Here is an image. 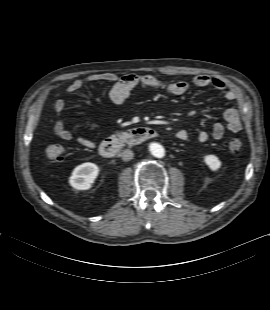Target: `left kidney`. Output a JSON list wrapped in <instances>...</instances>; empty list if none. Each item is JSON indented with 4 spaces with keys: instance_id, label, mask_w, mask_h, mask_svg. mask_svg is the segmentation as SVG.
Listing matches in <instances>:
<instances>
[{
    "instance_id": "obj_1",
    "label": "left kidney",
    "mask_w": 270,
    "mask_h": 310,
    "mask_svg": "<svg viewBox=\"0 0 270 310\" xmlns=\"http://www.w3.org/2000/svg\"><path fill=\"white\" fill-rule=\"evenodd\" d=\"M204 162L212 171H217L221 167V161L215 155H206Z\"/></svg>"
}]
</instances>
